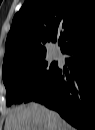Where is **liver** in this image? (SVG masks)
Here are the masks:
<instances>
[{
	"label": "liver",
	"instance_id": "6515ba94",
	"mask_svg": "<svg viewBox=\"0 0 95 130\" xmlns=\"http://www.w3.org/2000/svg\"><path fill=\"white\" fill-rule=\"evenodd\" d=\"M5 130H73L55 111L37 103L20 105L10 110Z\"/></svg>",
	"mask_w": 95,
	"mask_h": 130
}]
</instances>
